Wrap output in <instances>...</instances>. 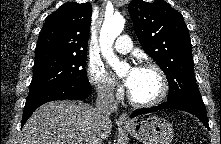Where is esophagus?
I'll list each match as a JSON object with an SVG mask.
<instances>
[{
    "mask_svg": "<svg viewBox=\"0 0 221 144\" xmlns=\"http://www.w3.org/2000/svg\"><path fill=\"white\" fill-rule=\"evenodd\" d=\"M119 122L122 125H129L131 123L128 115L126 113H122L119 117Z\"/></svg>",
    "mask_w": 221,
    "mask_h": 144,
    "instance_id": "obj_1",
    "label": "esophagus"
}]
</instances>
